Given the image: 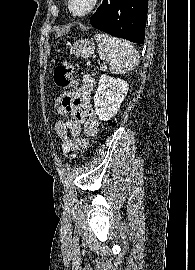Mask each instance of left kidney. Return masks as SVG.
<instances>
[{"instance_id":"1","label":"left kidney","mask_w":195,"mask_h":270,"mask_svg":"<svg viewBox=\"0 0 195 270\" xmlns=\"http://www.w3.org/2000/svg\"><path fill=\"white\" fill-rule=\"evenodd\" d=\"M128 89V83L120 78L106 74L100 77L94 95L95 112L100 120L107 121L117 114Z\"/></svg>"}]
</instances>
